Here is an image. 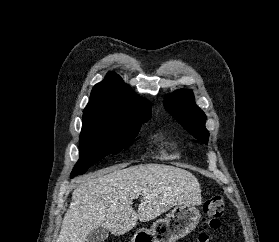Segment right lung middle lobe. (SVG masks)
<instances>
[{
  "label": "right lung middle lobe",
  "instance_id": "dd1d6c3e",
  "mask_svg": "<svg viewBox=\"0 0 279 242\" xmlns=\"http://www.w3.org/2000/svg\"><path fill=\"white\" fill-rule=\"evenodd\" d=\"M142 123L120 124L99 118H83L80 158L70 177L85 173L90 166L108 154H118L127 149L137 136Z\"/></svg>",
  "mask_w": 279,
  "mask_h": 242
}]
</instances>
